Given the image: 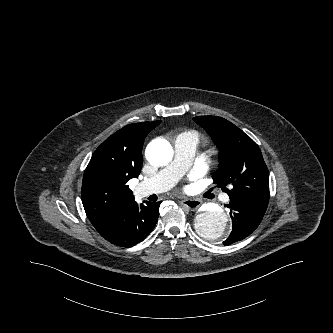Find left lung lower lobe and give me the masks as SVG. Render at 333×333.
I'll return each mask as SVG.
<instances>
[{
	"instance_id": "obj_1",
	"label": "left lung lower lobe",
	"mask_w": 333,
	"mask_h": 333,
	"mask_svg": "<svg viewBox=\"0 0 333 333\" xmlns=\"http://www.w3.org/2000/svg\"><path fill=\"white\" fill-rule=\"evenodd\" d=\"M227 207L230 209L232 232L223 242L224 245H230L250 235L258 227L266 211V209L234 200H230Z\"/></svg>"
}]
</instances>
